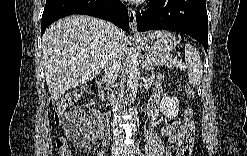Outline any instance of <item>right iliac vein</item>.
<instances>
[{"instance_id":"right-iliac-vein-1","label":"right iliac vein","mask_w":247,"mask_h":156,"mask_svg":"<svg viewBox=\"0 0 247 156\" xmlns=\"http://www.w3.org/2000/svg\"><path fill=\"white\" fill-rule=\"evenodd\" d=\"M120 151H121L120 146H115L112 150V155L117 156L119 155Z\"/></svg>"}]
</instances>
